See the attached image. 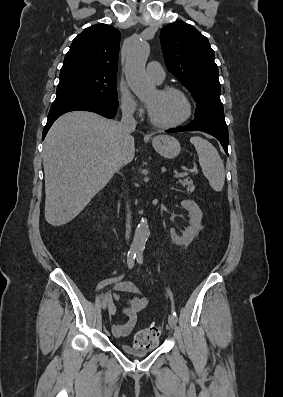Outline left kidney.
I'll use <instances>...</instances> for the list:
<instances>
[{
  "label": "left kidney",
  "instance_id": "1",
  "mask_svg": "<svg viewBox=\"0 0 283 397\" xmlns=\"http://www.w3.org/2000/svg\"><path fill=\"white\" fill-rule=\"evenodd\" d=\"M182 207L189 213V226L182 233V236L177 235L174 229H171V239L177 245H189L193 239L198 235L201 230V220L203 213L199 206L191 200H183L181 202Z\"/></svg>",
  "mask_w": 283,
  "mask_h": 397
}]
</instances>
